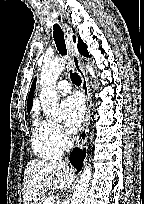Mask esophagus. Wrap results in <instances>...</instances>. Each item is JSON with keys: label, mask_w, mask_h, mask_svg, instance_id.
I'll return each instance as SVG.
<instances>
[{"label": "esophagus", "mask_w": 144, "mask_h": 204, "mask_svg": "<svg viewBox=\"0 0 144 204\" xmlns=\"http://www.w3.org/2000/svg\"><path fill=\"white\" fill-rule=\"evenodd\" d=\"M63 29L65 32V43L67 46V50L69 52L71 62L77 73L79 74L81 78V90L83 92V95L85 97L86 101V113L85 118L83 121L81 133L79 135L78 140V147L83 148L84 144L87 141L88 131H89V122H90V93H89V83L88 78L83 70L82 64H81V58L75 48V45L73 43V31L72 28L67 25L66 23H63Z\"/></svg>", "instance_id": "34e87169"}]
</instances>
